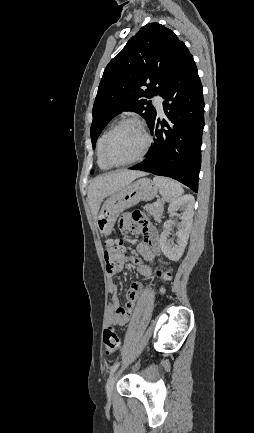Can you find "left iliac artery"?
I'll use <instances>...</instances> for the list:
<instances>
[{"instance_id":"obj_1","label":"left iliac artery","mask_w":254,"mask_h":433,"mask_svg":"<svg viewBox=\"0 0 254 433\" xmlns=\"http://www.w3.org/2000/svg\"><path fill=\"white\" fill-rule=\"evenodd\" d=\"M119 364H120V362L118 361L110 368V374L115 372V370L118 368Z\"/></svg>"}]
</instances>
